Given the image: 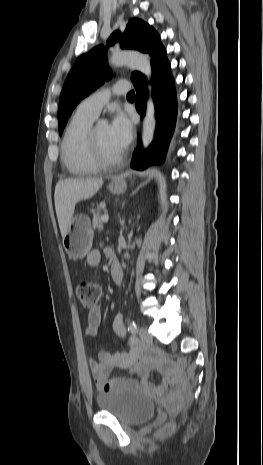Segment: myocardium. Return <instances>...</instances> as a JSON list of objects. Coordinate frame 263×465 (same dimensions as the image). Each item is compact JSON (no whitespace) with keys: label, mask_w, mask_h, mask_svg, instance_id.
Masks as SVG:
<instances>
[{"label":"myocardium","mask_w":263,"mask_h":465,"mask_svg":"<svg viewBox=\"0 0 263 465\" xmlns=\"http://www.w3.org/2000/svg\"><path fill=\"white\" fill-rule=\"evenodd\" d=\"M97 127L98 125L92 126L88 133H87V146L88 150L91 156V159L93 162L99 167V168H107V167H112L117 164H119L124 157V154L121 152L118 156L116 157H106L99 146V142L97 139Z\"/></svg>","instance_id":"myocardium-1"}]
</instances>
